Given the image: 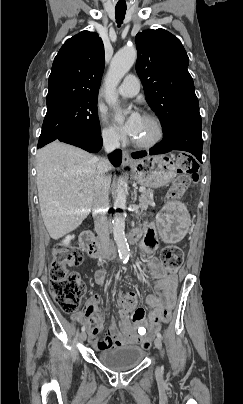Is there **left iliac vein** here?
<instances>
[{
	"label": "left iliac vein",
	"instance_id": "4c4485c4",
	"mask_svg": "<svg viewBox=\"0 0 243 404\" xmlns=\"http://www.w3.org/2000/svg\"><path fill=\"white\" fill-rule=\"evenodd\" d=\"M154 344H155V347H156L158 350H160V349L162 348V341H161L160 338H158V337L155 338Z\"/></svg>",
	"mask_w": 243,
	"mask_h": 404
}]
</instances>
